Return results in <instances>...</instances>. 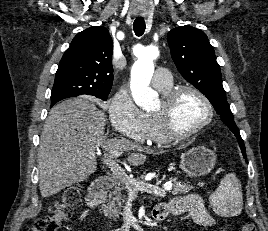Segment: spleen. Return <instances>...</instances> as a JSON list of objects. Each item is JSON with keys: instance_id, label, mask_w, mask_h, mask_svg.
I'll list each match as a JSON object with an SVG mask.
<instances>
[{"instance_id": "3e777b00", "label": "spleen", "mask_w": 268, "mask_h": 231, "mask_svg": "<svg viewBox=\"0 0 268 231\" xmlns=\"http://www.w3.org/2000/svg\"><path fill=\"white\" fill-rule=\"evenodd\" d=\"M210 206L219 216H238L243 208L241 184L235 174H227L209 197Z\"/></svg>"}]
</instances>
